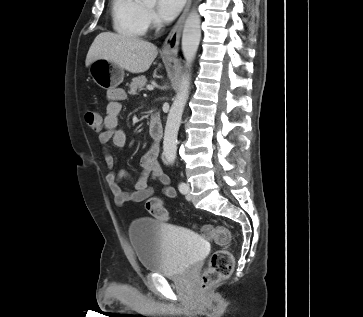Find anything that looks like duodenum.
<instances>
[{
	"mask_svg": "<svg viewBox=\"0 0 363 317\" xmlns=\"http://www.w3.org/2000/svg\"><path fill=\"white\" fill-rule=\"evenodd\" d=\"M149 132L155 146H159L163 140V123L156 112L152 113L149 120Z\"/></svg>",
	"mask_w": 363,
	"mask_h": 317,
	"instance_id": "1",
	"label": "duodenum"
}]
</instances>
